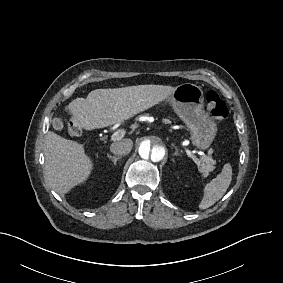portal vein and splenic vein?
<instances>
[{"label":"portal vein and splenic vein","instance_id":"18ae733b","mask_svg":"<svg viewBox=\"0 0 283 283\" xmlns=\"http://www.w3.org/2000/svg\"><path fill=\"white\" fill-rule=\"evenodd\" d=\"M122 138V135L120 134V131L118 132H115L111 135L110 137V141H118ZM187 155L190 157V158H193V161L198 165L200 163V160L194 156H192V153L190 151H187Z\"/></svg>","mask_w":283,"mask_h":283}]
</instances>
